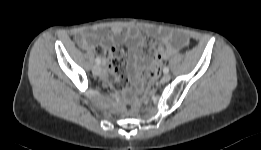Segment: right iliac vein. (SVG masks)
Returning <instances> with one entry per match:
<instances>
[{
  "instance_id": "right-iliac-vein-1",
  "label": "right iliac vein",
  "mask_w": 261,
  "mask_h": 150,
  "mask_svg": "<svg viewBox=\"0 0 261 150\" xmlns=\"http://www.w3.org/2000/svg\"><path fill=\"white\" fill-rule=\"evenodd\" d=\"M92 72L94 75H100L101 74V67L99 65H95L93 68H92Z\"/></svg>"
}]
</instances>
